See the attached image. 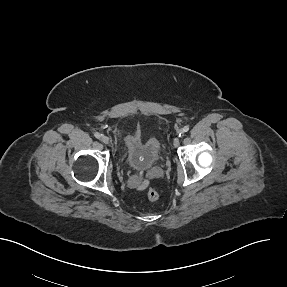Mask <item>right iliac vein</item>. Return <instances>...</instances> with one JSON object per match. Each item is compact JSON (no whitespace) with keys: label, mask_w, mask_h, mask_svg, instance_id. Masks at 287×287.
<instances>
[{"label":"right iliac vein","mask_w":287,"mask_h":287,"mask_svg":"<svg viewBox=\"0 0 287 287\" xmlns=\"http://www.w3.org/2000/svg\"><path fill=\"white\" fill-rule=\"evenodd\" d=\"M101 141H102L104 144H109V143H110L109 137H107V136H105V135H103V136L101 137Z\"/></svg>","instance_id":"1"}]
</instances>
